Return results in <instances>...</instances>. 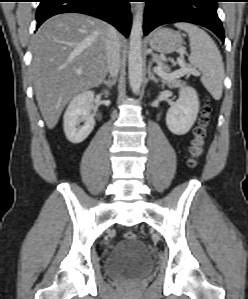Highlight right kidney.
Segmentation results:
<instances>
[{"label":"right kidney","instance_id":"ca27d5eb","mask_svg":"<svg viewBox=\"0 0 248 299\" xmlns=\"http://www.w3.org/2000/svg\"><path fill=\"white\" fill-rule=\"evenodd\" d=\"M108 95V91H104ZM94 92L85 91L76 95L69 103L63 118V127L67 139L74 144L81 143L92 132L95 120L91 115ZM84 124L80 126L79 124Z\"/></svg>","mask_w":248,"mask_h":299}]
</instances>
